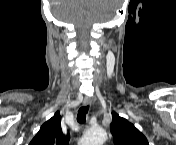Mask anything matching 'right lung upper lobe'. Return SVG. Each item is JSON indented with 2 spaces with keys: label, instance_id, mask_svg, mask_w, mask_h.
I'll use <instances>...</instances> for the list:
<instances>
[{
  "label": "right lung upper lobe",
  "instance_id": "right-lung-upper-lobe-1",
  "mask_svg": "<svg viewBox=\"0 0 176 145\" xmlns=\"http://www.w3.org/2000/svg\"><path fill=\"white\" fill-rule=\"evenodd\" d=\"M68 141L69 134L65 137L62 133L61 116L60 112L57 111L52 118L41 126L29 145H68Z\"/></svg>",
  "mask_w": 176,
  "mask_h": 145
}]
</instances>
